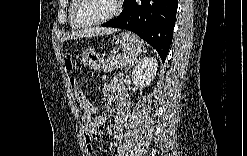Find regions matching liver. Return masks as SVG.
Segmentation results:
<instances>
[{
    "label": "liver",
    "instance_id": "6515ba94",
    "mask_svg": "<svg viewBox=\"0 0 247 156\" xmlns=\"http://www.w3.org/2000/svg\"><path fill=\"white\" fill-rule=\"evenodd\" d=\"M117 31H118V29H116V28H99L98 27V28L86 29L83 31L71 33L70 35H68L65 38V40L90 37V36L110 35V34L115 33Z\"/></svg>",
    "mask_w": 247,
    "mask_h": 156
}]
</instances>
